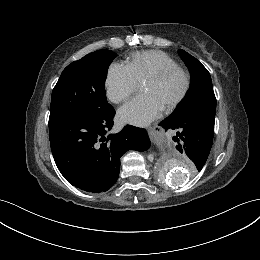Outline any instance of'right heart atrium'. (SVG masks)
I'll return each mask as SVG.
<instances>
[{
  "mask_svg": "<svg viewBox=\"0 0 260 260\" xmlns=\"http://www.w3.org/2000/svg\"><path fill=\"white\" fill-rule=\"evenodd\" d=\"M105 86L108 99L113 103H121L134 93L138 83L126 66L112 64L107 72Z\"/></svg>",
  "mask_w": 260,
  "mask_h": 260,
  "instance_id": "d8ad5b80",
  "label": "right heart atrium"
}]
</instances>
